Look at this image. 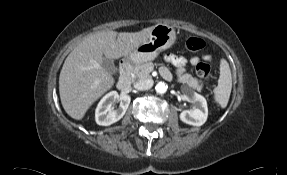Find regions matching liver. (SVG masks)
<instances>
[{
    "instance_id": "1",
    "label": "liver",
    "mask_w": 287,
    "mask_h": 175,
    "mask_svg": "<svg viewBox=\"0 0 287 175\" xmlns=\"http://www.w3.org/2000/svg\"><path fill=\"white\" fill-rule=\"evenodd\" d=\"M154 26L129 33L101 31L87 36L66 58L59 76V93L66 113L81 120L89 107L114 85L103 68V57H126L148 40Z\"/></svg>"
}]
</instances>
